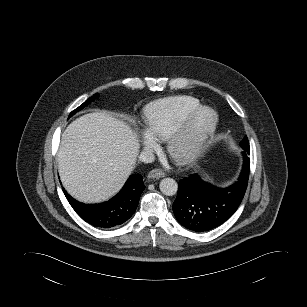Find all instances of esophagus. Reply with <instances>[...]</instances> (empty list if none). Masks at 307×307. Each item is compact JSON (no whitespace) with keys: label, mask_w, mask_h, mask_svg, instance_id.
<instances>
[{"label":"esophagus","mask_w":307,"mask_h":307,"mask_svg":"<svg viewBox=\"0 0 307 307\" xmlns=\"http://www.w3.org/2000/svg\"><path fill=\"white\" fill-rule=\"evenodd\" d=\"M149 179H160L165 177V173L164 171L160 170V169H153L148 173L147 176Z\"/></svg>","instance_id":"esophagus-1"}]
</instances>
